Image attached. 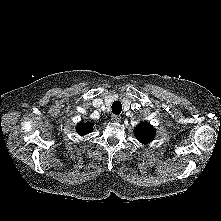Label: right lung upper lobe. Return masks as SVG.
<instances>
[{"mask_svg": "<svg viewBox=\"0 0 221 221\" xmlns=\"http://www.w3.org/2000/svg\"><path fill=\"white\" fill-rule=\"evenodd\" d=\"M92 129L93 125L91 123H83V122L79 123L76 128L78 134L80 135H86L89 132H91Z\"/></svg>", "mask_w": 221, "mask_h": 221, "instance_id": "obj_1", "label": "right lung upper lobe"}]
</instances>
